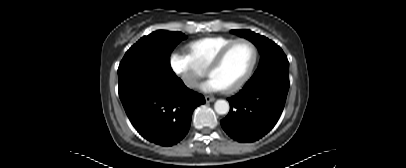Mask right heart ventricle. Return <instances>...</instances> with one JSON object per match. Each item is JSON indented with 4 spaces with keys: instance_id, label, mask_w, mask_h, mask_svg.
<instances>
[{
    "instance_id": "right-heart-ventricle-1",
    "label": "right heart ventricle",
    "mask_w": 406,
    "mask_h": 168,
    "mask_svg": "<svg viewBox=\"0 0 406 168\" xmlns=\"http://www.w3.org/2000/svg\"><path fill=\"white\" fill-rule=\"evenodd\" d=\"M233 40L234 38L225 36L204 37L191 41L186 47L191 58L204 69L213 57Z\"/></svg>"
}]
</instances>
